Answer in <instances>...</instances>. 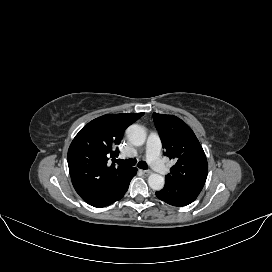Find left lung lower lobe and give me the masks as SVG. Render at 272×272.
<instances>
[{
	"label": "left lung lower lobe",
	"instance_id": "1",
	"mask_svg": "<svg viewBox=\"0 0 272 272\" xmlns=\"http://www.w3.org/2000/svg\"><path fill=\"white\" fill-rule=\"evenodd\" d=\"M202 188L203 186L201 185H173L165 183L164 188L156 192V196L170 205L186 206L197 198Z\"/></svg>",
	"mask_w": 272,
	"mask_h": 272
}]
</instances>
